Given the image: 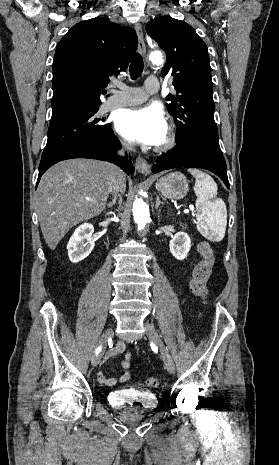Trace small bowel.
I'll list each match as a JSON object with an SVG mask.
<instances>
[{
  "label": "small bowel",
  "mask_w": 279,
  "mask_h": 465,
  "mask_svg": "<svg viewBox=\"0 0 279 465\" xmlns=\"http://www.w3.org/2000/svg\"><path fill=\"white\" fill-rule=\"evenodd\" d=\"M126 344L123 341H118L113 348H111L105 355L106 359H109L115 355L125 353L121 365L125 372L120 377H109L104 372H100L98 378L101 383L109 386L116 385L118 383L126 382L131 378L130 365H131V353L125 352Z\"/></svg>",
  "instance_id": "small-bowel-1"
}]
</instances>
